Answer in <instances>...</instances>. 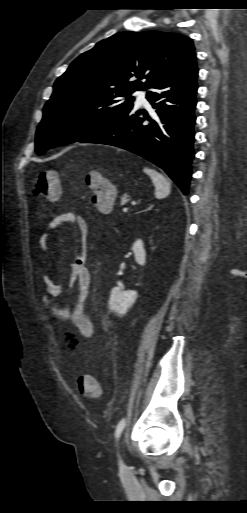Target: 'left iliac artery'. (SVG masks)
Segmentation results:
<instances>
[{
    "label": "left iliac artery",
    "mask_w": 247,
    "mask_h": 513,
    "mask_svg": "<svg viewBox=\"0 0 247 513\" xmlns=\"http://www.w3.org/2000/svg\"><path fill=\"white\" fill-rule=\"evenodd\" d=\"M125 424H126L125 418L121 419L120 422L118 423V425L116 427V431H115L116 441H118V439L120 438L121 433L124 430Z\"/></svg>",
    "instance_id": "obj_1"
}]
</instances>
